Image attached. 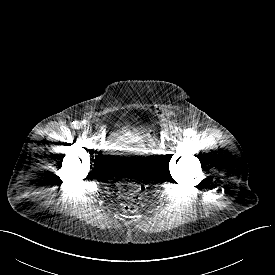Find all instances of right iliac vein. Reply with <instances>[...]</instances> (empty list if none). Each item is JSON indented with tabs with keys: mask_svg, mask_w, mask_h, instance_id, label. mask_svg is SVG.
<instances>
[{
	"mask_svg": "<svg viewBox=\"0 0 275 275\" xmlns=\"http://www.w3.org/2000/svg\"><path fill=\"white\" fill-rule=\"evenodd\" d=\"M82 129L85 130V131H89V130H90V126L87 125V124H84V125L82 126Z\"/></svg>",
	"mask_w": 275,
	"mask_h": 275,
	"instance_id": "right-iliac-vein-1",
	"label": "right iliac vein"
}]
</instances>
